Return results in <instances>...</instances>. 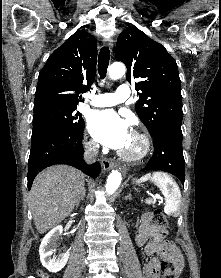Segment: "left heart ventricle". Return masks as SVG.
Masks as SVG:
<instances>
[{"label": "left heart ventricle", "instance_id": "obj_1", "mask_svg": "<svg viewBox=\"0 0 221 278\" xmlns=\"http://www.w3.org/2000/svg\"><path fill=\"white\" fill-rule=\"evenodd\" d=\"M139 149H140V141L133 136L130 137L129 142L123 148L124 151L132 154L138 152Z\"/></svg>", "mask_w": 221, "mask_h": 278}]
</instances>
